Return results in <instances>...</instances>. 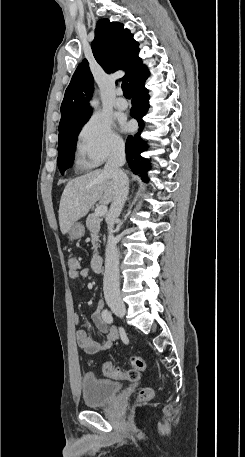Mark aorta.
Masks as SVG:
<instances>
[{
  "instance_id": "762f6f07",
  "label": "aorta",
  "mask_w": 245,
  "mask_h": 457,
  "mask_svg": "<svg viewBox=\"0 0 245 457\" xmlns=\"http://www.w3.org/2000/svg\"><path fill=\"white\" fill-rule=\"evenodd\" d=\"M90 103H91L92 106H96L98 104V102L96 100H94V99Z\"/></svg>"
}]
</instances>
